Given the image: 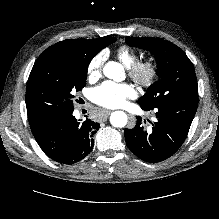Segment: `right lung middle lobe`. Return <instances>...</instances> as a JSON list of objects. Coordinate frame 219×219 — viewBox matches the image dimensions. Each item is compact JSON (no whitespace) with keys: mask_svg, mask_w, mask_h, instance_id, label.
<instances>
[{"mask_svg":"<svg viewBox=\"0 0 219 219\" xmlns=\"http://www.w3.org/2000/svg\"><path fill=\"white\" fill-rule=\"evenodd\" d=\"M92 58L81 50L70 52L53 47L47 48L39 56L26 89L30 125L74 108V93L85 87Z\"/></svg>","mask_w":219,"mask_h":219,"instance_id":"obj_1","label":"right lung middle lobe"}]
</instances>
